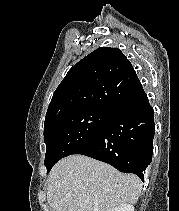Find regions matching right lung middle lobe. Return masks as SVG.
<instances>
[{"instance_id":"right-lung-middle-lobe-1","label":"right lung middle lobe","mask_w":179,"mask_h":211,"mask_svg":"<svg viewBox=\"0 0 179 211\" xmlns=\"http://www.w3.org/2000/svg\"><path fill=\"white\" fill-rule=\"evenodd\" d=\"M114 109L89 108L58 118L44 127L47 173L61 158L91 142L103 129Z\"/></svg>"}]
</instances>
